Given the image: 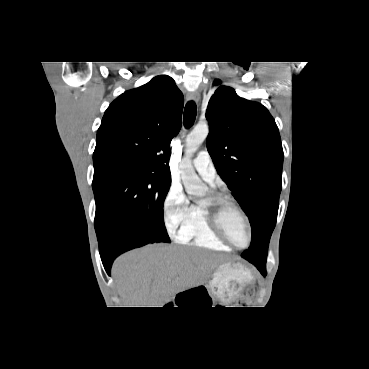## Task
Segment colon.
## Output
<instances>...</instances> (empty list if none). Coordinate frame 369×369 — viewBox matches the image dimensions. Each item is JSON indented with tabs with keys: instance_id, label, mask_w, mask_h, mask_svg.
<instances>
[{
	"instance_id": "colon-1",
	"label": "colon",
	"mask_w": 369,
	"mask_h": 369,
	"mask_svg": "<svg viewBox=\"0 0 369 369\" xmlns=\"http://www.w3.org/2000/svg\"><path fill=\"white\" fill-rule=\"evenodd\" d=\"M252 295H253V292L249 291L248 293H246L245 295H243L242 297L238 299V301L235 303V306L236 307L247 306L251 302Z\"/></svg>"
}]
</instances>
